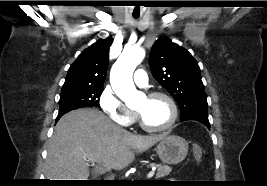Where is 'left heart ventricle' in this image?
<instances>
[{
  "label": "left heart ventricle",
  "instance_id": "obj_1",
  "mask_svg": "<svg viewBox=\"0 0 267 186\" xmlns=\"http://www.w3.org/2000/svg\"><path fill=\"white\" fill-rule=\"evenodd\" d=\"M135 111L139 112L144 122L150 127H161L165 125L171 116V108L168 101L162 97H144Z\"/></svg>",
  "mask_w": 267,
  "mask_h": 186
}]
</instances>
